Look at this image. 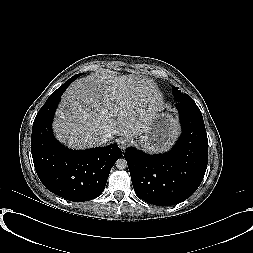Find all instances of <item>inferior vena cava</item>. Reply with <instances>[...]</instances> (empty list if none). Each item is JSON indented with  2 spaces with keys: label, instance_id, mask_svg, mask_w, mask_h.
Masks as SVG:
<instances>
[{
  "label": "inferior vena cava",
  "instance_id": "inferior-vena-cava-1",
  "mask_svg": "<svg viewBox=\"0 0 253 253\" xmlns=\"http://www.w3.org/2000/svg\"><path fill=\"white\" fill-rule=\"evenodd\" d=\"M108 140H109V136L103 135V136L100 137L99 143H100V144H105V143L108 142Z\"/></svg>",
  "mask_w": 253,
  "mask_h": 253
}]
</instances>
